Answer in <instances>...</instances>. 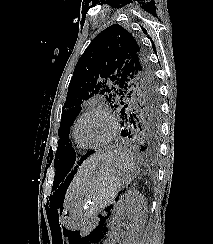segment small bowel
<instances>
[{
    "instance_id": "obj_1",
    "label": "small bowel",
    "mask_w": 213,
    "mask_h": 244,
    "mask_svg": "<svg viewBox=\"0 0 213 244\" xmlns=\"http://www.w3.org/2000/svg\"><path fill=\"white\" fill-rule=\"evenodd\" d=\"M99 244H104V242L101 241V242H99Z\"/></svg>"
}]
</instances>
